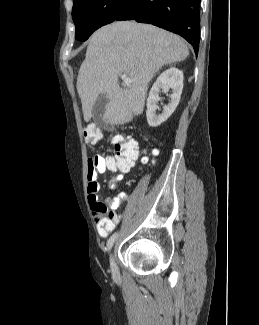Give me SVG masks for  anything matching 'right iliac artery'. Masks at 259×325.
I'll return each mask as SVG.
<instances>
[{
    "instance_id": "82829eb1",
    "label": "right iliac artery",
    "mask_w": 259,
    "mask_h": 325,
    "mask_svg": "<svg viewBox=\"0 0 259 325\" xmlns=\"http://www.w3.org/2000/svg\"><path fill=\"white\" fill-rule=\"evenodd\" d=\"M118 233L115 232L107 241V249L110 250L113 246V243L115 242V239L117 238Z\"/></svg>"
}]
</instances>
